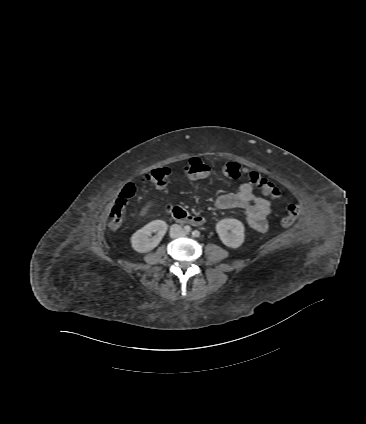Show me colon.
Segmentation results:
<instances>
[{"mask_svg":"<svg viewBox=\"0 0 366 424\" xmlns=\"http://www.w3.org/2000/svg\"><path fill=\"white\" fill-rule=\"evenodd\" d=\"M184 172L190 178H205L210 173L209 166L200 158L192 157L187 160L184 165ZM220 175L236 180H246L251 185L257 186L265 195L272 199L281 197L280 189L262 177L255 171L243 168L238 163L229 162L221 165L218 169ZM171 175L169 168H160L152 171L142 178L144 182L156 185H163L166 179ZM135 189L132 185H128L120 194L119 198L113 204L109 214V227L112 230L120 228L126 212L128 200L134 195ZM299 215V208L296 205L288 206L286 213L281 217V224L284 227L291 226Z\"/></svg>","mask_w":366,"mask_h":424,"instance_id":"5ec220e1","label":"colon"}]
</instances>
